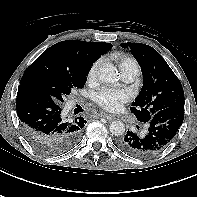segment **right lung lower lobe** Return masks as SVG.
<instances>
[{
	"label": "right lung lower lobe",
	"mask_w": 197,
	"mask_h": 197,
	"mask_svg": "<svg viewBox=\"0 0 197 197\" xmlns=\"http://www.w3.org/2000/svg\"><path fill=\"white\" fill-rule=\"evenodd\" d=\"M17 115L25 135L41 150L59 154L74 147L86 123L83 117H65L61 104L45 91L20 84Z\"/></svg>",
	"instance_id": "1"
}]
</instances>
